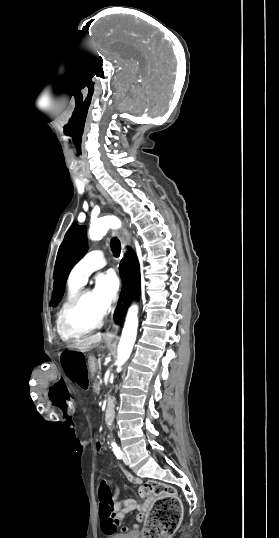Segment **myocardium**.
<instances>
[{
	"mask_svg": "<svg viewBox=\"0 0 279 538\" xmlns=\"http://www.w3.org/2000/svg\"><path fill=\"white\" fill-rule=\"evenodd\" d=\"M102 235V234H100ZM91 289L82 288L73 299L67 304L64 308L61 317H60V330L61 332L70 339H79L86 335H89L100 328L102 325L106 313H104L94 324L89 327L77 329L71 323V316L75 309H77L85 300L87 294L91 292Z\"/></svg>",
	"mask_w": 279,
	"mask_h": 538,
	"instance_id": "myocardium-1",
	"label": "myocardium"
}]
</instances>
